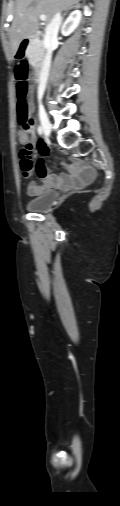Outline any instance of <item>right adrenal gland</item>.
<instances>
[{
	"mask_svg": "<svg viewBox=\"0 0 120 506\" xmlns=\"http://www.w3.org/2000/svg\"><path fill=\"white\" fill-rule=\"evenodd\" d=\"M79 5L76 3L74 4L73 6H71L69 9H74V8H78ZM66 15V13H64L63 17H62V22H63V19H64V16Z\"/></svg>",
	"mask_w": 120,
	"mask_h": 506,
	"instance_id": "2a0ac1e0",
	"label": "right adrenal gland"
}]
</instances>
